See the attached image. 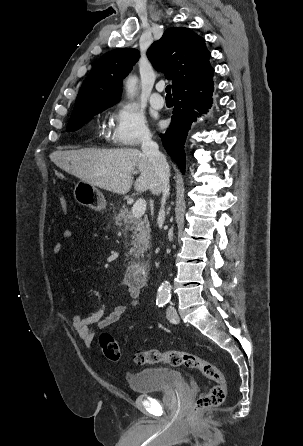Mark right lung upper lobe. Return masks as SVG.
<instances>
[{"mask_svg":"<svg viewBox=\"0 0 303 446\" xmlns=\"http://www.w3.org/2000/svg\"><path fill=\"white\" fill-rule=\"evenodd\" d=\"M147 55L157 71L173 80V93L214 72L204 39L188 28L167 29L162 38L151 45ZM138 58V51L130 48L115 49L100 57L78 93L72 115L118 102L122 79Z\"/></svg>","mask_w":303,"mask_h":446,"instance_id":"1","label":"right lung upper lobe"}]
</instances>
